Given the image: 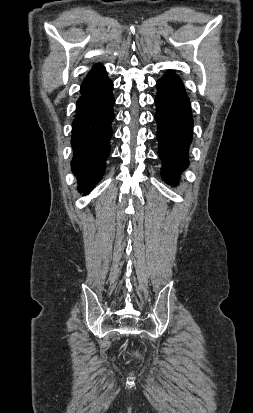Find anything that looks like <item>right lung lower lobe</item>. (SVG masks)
<instances>
[{
  "label": "right lung lower lobe",
  "mask_w": 253,
  "mask_h": 413,
  "mask_svg": "<svg viewBox=\"0 0 253 413\" xmlns=\"http://www.w3.org/2000/svg\"><path fill=\"white\" fill-rule=\"evenodd\" d=\"M113 83L105 68L83 84L72 123L71 167L78 189L87 194L101 180L110 154L111 124L114 120Z\"/></svg>",
  "instance_id": "right-lung-lower-lobe-1"
}]
</instances>
